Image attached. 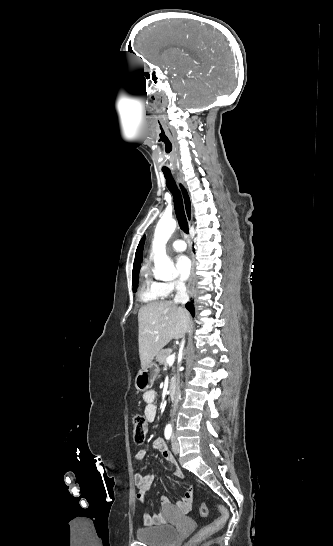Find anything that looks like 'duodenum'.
Masks as SVG:
<instances>
[{
	"mask_svg": "<svg viewBox=\"0 0 333 546\" xmlns=\"http://www.w3.org/2000/svg\"><path fill=\"white\" fill-rule=\"evenodd\" d=\"M177 381L175 378H171L168 384V394L171 400L176 397Z\"/></svg>",
	"mask_w": 333,
	"mask_h": 546,
	"instance_id": "duodenum-1",
	"label": "duodenum"
}]
</instances>
